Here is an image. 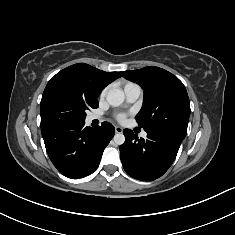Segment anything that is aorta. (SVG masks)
<instances>
[{
	"instance_id": "aorta-1",
	"label": "aorta",
	"mask_w": 235,
	"mask_h": 235,
	"mask_svg": "<svg viewBox=\"0 0 235 235\" xmlns=\"http://www.w3.org/2000/svg\"><path fill=\"white\" fill-rule=\"evenodd\" d=\"M106 100L111 106H119L124 101V93L119 89H111L107 93ZM113 140L115 144L122 145L125 142V136L123 133H117L114 135Z\"/></svg>"
}]
</instances>
